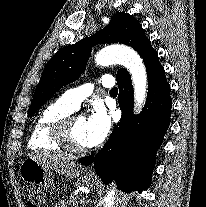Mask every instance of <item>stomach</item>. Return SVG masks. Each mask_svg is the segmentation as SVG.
<instances>
[{
	"label": "stomach",
	"mask_w": 206,
	"mask_h": 207,
	"mask_svg": "<svg viewBox=\"0 0 206 207\" xmlns=\"http://www.w3.org/2000/svg\"><path fill=\"white\" fill-rule=\"evenodd\" d=\"M20 177L28 184L51 187L53 184L52 172L33 158H26L19 168ZM81 182L90 188L98 186L99 182L90 176H83Z\"/></svg>",
	"instance_id": "stomach-1"
}]
</instances>
